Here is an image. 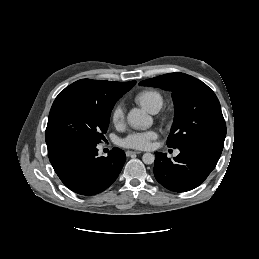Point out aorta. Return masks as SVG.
<instances>
[{
    "mask_svg": "<svg viewBox=\"0 0 259 259\" xmlns=\"http://www.w3.org/2000/svg\"><path fill=\"white\" fill-rule=\"evenodd\" d=\"M127 120L131 127L141 130L149 128L153 123L152 117L146 111L137 108L130 110ZM154 160L155 156L152 153H145L142 156V161L145 164H152Z\"/></svg>",
    "mask_w": 259,
    "mask_h": 259,
    "instance_id": "1",
    "label": "aorta"
}]
</instances>
